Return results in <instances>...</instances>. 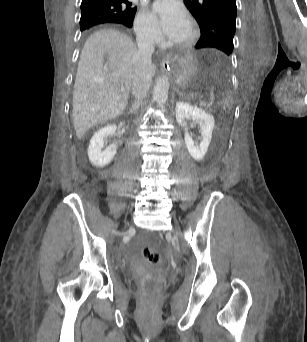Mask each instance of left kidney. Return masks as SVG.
<instances>
[{
    "mask_svg": "<svg viewBox=\"0 0 307 342\" xmlns=\"http://www.w3.org/2000/svg\"><path fill=\"white\" fill-rule=\"evenodd\" d=\"M175 114L177 124H184L185 120H193V122L199 124V132L201 134L200 144H194V140L189 132H185L184 140L190 156L196 162H200V160H203L212 140V132L215 126L213 116L209 112L202 110V108L191 106L187 102H177Z\"/></svg>",
    "mask_w": 307,
    "mask_h": 342,
    "instance_id": "left-kidney-1",
    "label": "left kidney"
}]
</instances>
